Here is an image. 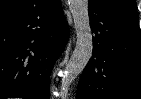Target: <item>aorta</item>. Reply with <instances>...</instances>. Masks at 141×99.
<instances>
[{
  "instance_id": "aorta-1",
  "label": "aorta",
  "mask_w": 141,
  "mask_h": 99,
  "mask_svg": "<svg viewBox=\"0 0 141 99\" xmlns=\"http://www.w3.org/2000/svg\"><path fill=\"white\" fill-rule=\"evenodd\" d=\"M76 30V46L65 68L61 90L68 91L75 78L84 70L93 51V38L88 15V0H68Z\"/></svg>"
}]
</instances>
